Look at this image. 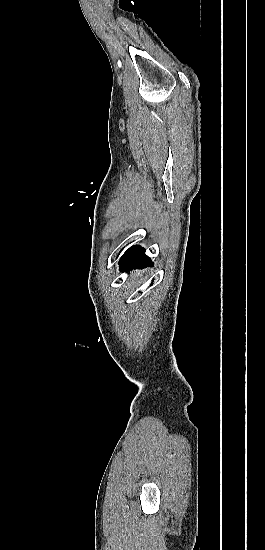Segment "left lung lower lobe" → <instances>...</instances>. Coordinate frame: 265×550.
Segmentation results:
<instances>
[{"label": "left lung lower lobe", "mask_w": 265, "mask_h": 550, "mask_svg": "<svg viewBox=\"0 0 265 550\" xmlns=\"http://www.w3.org/2000/svg\"><path fill=\"white\" fill-rule=\"evenodd\" d=\"M145 250L140 246H133L120 259V270L127 271L132 268H144L152 265V261L144 254Z\"/></svg>", "instance_id": "obj_1"}]
</instances>
